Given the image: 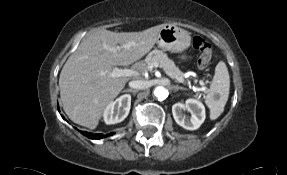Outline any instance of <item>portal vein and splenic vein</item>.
<instances>
[{"mask_svg": "<svg viewBox=\"0 0 287 175\" xmlns=\"http://www.w3.org/2000/svg\"><path fill=\"white\" fill-rule=\"evenodd\" d=\"M154 67L158 68L160 67V65L158 63H154ZM139 73L132 70V69H120L118 67L113 68L112 72L110 73L111 77H129V76H137ZM181 82H184V79L180 80ZM188 84H190V81H187ZM200 84H203V82L201 81ZM193 89L195 91H204L205 87L202 88H197V87H193Z\"/></svg>", "mask_w": 287, "mask_h": 175, "instance_id": "portal-vein-and-splenic-vein-1", "label": "portal vein and splenic vein"}]
</instances>
